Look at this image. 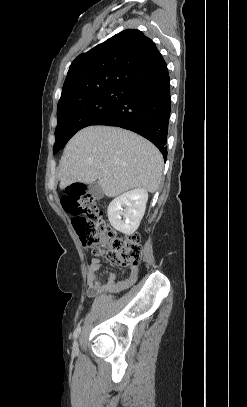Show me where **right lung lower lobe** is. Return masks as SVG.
Returning <instances> with one entry per match:
<instances>
[{
  "label": "right lung lower lobe",
  "instance_id": "obj_1",
  "mask_svg": "<svg viewBox=\"0 0 247 407\" xmlns=\"http://www.w3.org/2000/svg\"><path fill=\"white\" fill-rule=\"evenodd\" d=\"M130 88V93L93 125L118 126L138 133L151 141L166 160L171 108L167 66L154 75L136 82Z\"/></svg>",
  "mask_w": 247,
  "mask_h": 407
}]
</instances>
